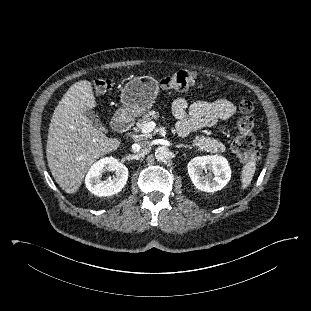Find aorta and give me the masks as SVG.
<instances>
[{
  "instance_id": "obj_1",
  "label": "aorta",
  "mask_w": 311,
  "mask_h": 311,
  "mask_svg": "<svg viewBox=\"0 0 311 311\" xmlns=\"http://www.w3.org/2000/svg\"><path fill=\"white\" fill-rule=\"evenodd\" d=\"M170 154V150L165 146L158 147L155 150V158L160 162H166L170 158Z\"/></svg>"
}]
</instances>
